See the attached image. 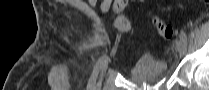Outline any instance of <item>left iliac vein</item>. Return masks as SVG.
<instances>
[{
    "instance_id": "4c4485c4",
    "label": "left iliac vein",
    "mask_w": 209,
    "mask_h": 90,
    "mask_svg": "<svg viewBox=\"0 0 209 90\" xmlns=\"http://www.w3.org/2000/svg\"><path fill=\"white\" fill-rule=\"evenodd\" d=\"M186 44L182 40H177L176 41V49L178 50L180 55H184L186 52Z\"/></svg>"
}]
</instances>
